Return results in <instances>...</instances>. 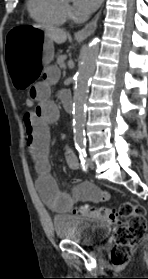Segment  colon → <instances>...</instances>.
Wrapping results in <instances>:
<instances>
[{
    "label": "colon",
    "mask_w": 148,
    "mask_h": 279,
    "mask_svg": "<svg viewBox=\"0 0 148 279\" xmlns=\"http://www.w3.org/2000/svg\"><path fill=\"white\" fill-rule=\"evenodd\" d=\"M34 104L35 98L28 94L25 105L30 108ZM74 213L97 218L109 224H120L114 234V246L111 252V260L114 265H122L130 259L135 245L147 230L145 208L132 201L120 203L117 209L82 205L75 208Z\"/></svg>",
    "instance_id": "colon-1"
}]
</instances>
